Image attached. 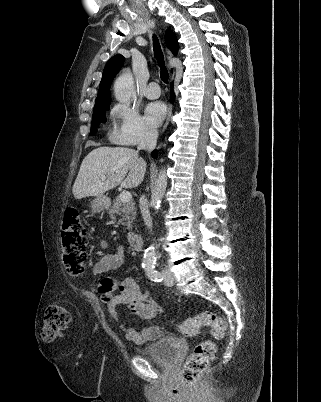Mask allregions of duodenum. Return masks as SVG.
<instances>
[{
    "label": "duodenum",
    "instance_id": "1",
    "mask_svg": "<svg viewBox=\"0 0 321 402\" xmlns=\"http://www.w3.org/2000/svg\"><path fill=\"white\" fill-rule=\"evenodd\" d=\"M128 245L134 250L142 249V237L139 233L130 232L127 236Z\"/></svg>",
    "mask_w": 321,
    "mask_h": 402
}]
</instances>
